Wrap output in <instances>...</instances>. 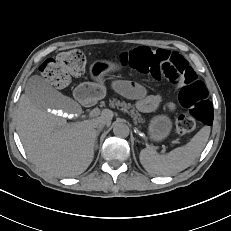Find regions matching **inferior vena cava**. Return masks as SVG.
I'll return each mask as SVG.
<instances>
[{
    "mask_svg": "<svg viewBox=\"0 0 231 231\" xmlns=\"http://www.w3.org/2000/svg\"><path fill=\"white\" fill-rule=\"evenodd\" d=\"M105 126V122L104 121H98L95 123V127L98 129H101Z\"/></svg>",
    "mask_w": 231,
    "mask_h": 231,
    "instance_id": "602c4592",
    "label": "inferior vena cava"
}]
</instances>
